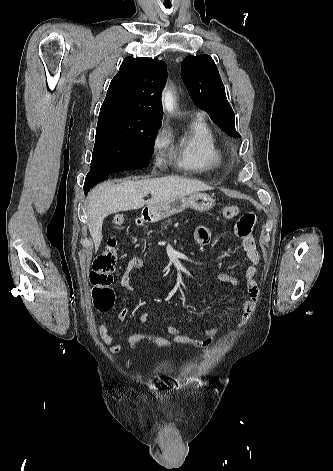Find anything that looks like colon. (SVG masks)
<instances>
[{
  "instance_id": "obj_1",
  "label": "colon",
  "mask_w": 333,
  "mask_h": 471,
  "mask_svg": "<svg viewBox=\"0 0 333 471\" xmlns=\"http://www.w3.org/2000/svg\"><path fill=\"white\" fill-rule=\"evenodd\" d=\"M239 214V208L236 205H229L222 209V215L225 218H234ZM125 219L117 215L113 219L115 227L124 224ZM117 263V240L109 238L103 251L95 258L90 273V282L92 284V297L94 306L99 311H109L114 304V291L112 289L113 273ZM127 344L135 347L142 344H152L156 347H170L173 342L170 338L153 335L144 332H135L127 337Z\"/></svg>"
}]
</instances>
